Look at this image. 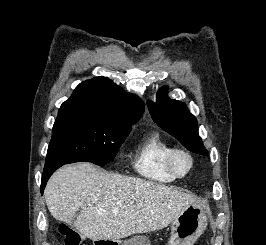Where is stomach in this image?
I'll return each instance as SVG.
<instances>
[{"label": "stomach", "instance_id": "0dacf381", "mask_svg": "<svg viewBox=\"0 0 266 245\" xmlns=\"http://www.w3.org/2000/svg\"><path fill=\"white\" fill-rule=\"evenodd\" d=\"M208 225V219L198 205H189L182 215L172 223L170 239L167 245H193ZM121 245V241H110ZM124 245H150L149 237L137 235L124 241Z\"/></svg>", "mask_w": 266, "mask_h": 245}]
</instances>
